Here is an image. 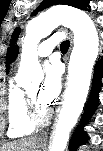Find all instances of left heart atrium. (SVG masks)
Instances as JSON below:
<instances>
[{"label": "left heart atrium", "mask_w": 103, "mask_h": 151, "mask_svg": "<svg viewBox=\"0 0 103 151\" xmlns=\"http://www.w3.org/2000/svg\"><path fill=\"white\" fill-rule=\"evenodd\" d=\"M61 87V72L56 63L45 67V79L37 95V101L44 109H48L58 96Z\"/></svg>", "instance_id": "39dd6f15"}]
</instances>
